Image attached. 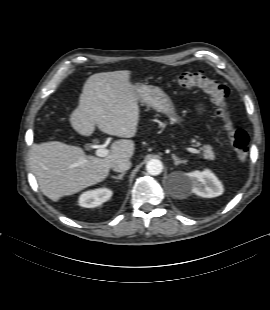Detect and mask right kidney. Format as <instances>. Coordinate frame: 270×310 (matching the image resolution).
<instances>
[{
	"label": "right kidney",
	"instance_id": "1",
	"mask_svg": "<svg viewBox=\"0 0 270 310\" xmlns=\"http://www.w3.org/2000/svg\"><path fill=\"white\" fill-rule=\"evenodd\" d=\"M112 191L108 188H99L82 193L79 197V205L85 208H94L108 201Z\"/></svg>",
	"mask_w": 270,
	"mask_h": 310
}]
</instances>
